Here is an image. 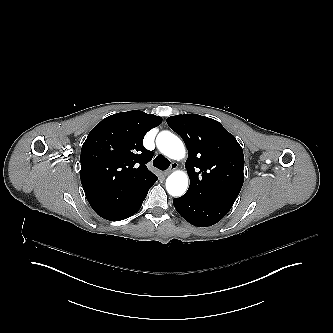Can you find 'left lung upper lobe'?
<instances>
[{"instance_id": "obj_1", "label": "left lung upper lobe", "mask_w": 333, "mask_h": 333, "mask_svg": "<svg viewBox=\"0 0 333 333\" xmlns=\"http://www.w3.org/2000/svg\"><path fill=\"white\" fill-rule=\"evenodd\" d=\"M167 124L189 152L185 195L232 206L244 182V155L236 138L218 121L197 114L171 116Z\"/></svg>"}]
</instances>
